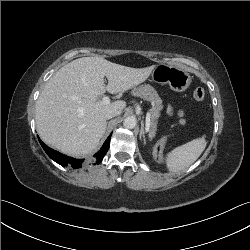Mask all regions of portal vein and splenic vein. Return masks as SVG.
Returning <instances> with one entry per match:
<instances>
[{"instance_id": "portal-vein-and-splenic-vein-1", "label": "portal vein and splenic vein", "mask_w": 250, "mask_h": 250, "mask_svg": "<svg viewBox=\"0 0 250 250\" xmlns=\"http://www.w3.org/2000/svg\"><path fill=\"white\" fill-rule=\"evenodd\" d=\"M102 103H103V104H108V103H110L109 97H107V96L103 97ZM150 124H151V115H150V113L148 112L147 115H146V126H147L148 129L150 128Z\"/></svg>"}]
</instances>
